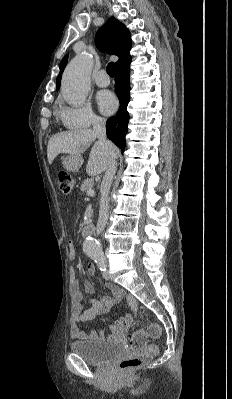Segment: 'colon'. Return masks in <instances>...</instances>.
I'll return each mask as SVG.
<instances>
[{"label": "colon", "instance_id": "colon-1", "mask_svg": "<svg viewBox=\"0 0 232 399\" xmlns=\"http://www.w3.org/2000/svg\"><path fill=\"white\" fill-rule=\"evenodd\" d=\"M73 177L70 174L56 173V186L59 191L69 195L73 194ZM162 326L158 321H149L148 326H134L133 334L129 335L124 353H138V355H121V374H132V368H140L141 365L149 364L152 358V351H146L151 347V341H158L161 337Z\"/></svg>", "mask_w": 232, "mask_h": 399}]
</instances>
